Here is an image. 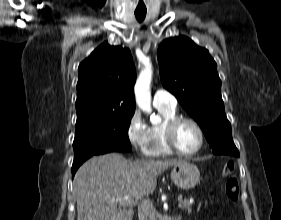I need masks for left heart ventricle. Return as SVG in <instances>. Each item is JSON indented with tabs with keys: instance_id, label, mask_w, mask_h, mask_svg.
I'll return each mask as SVG.
<instances>
[{
	"instance_id": "1",
	"label": "left heart ventricle",
	"mask_w": 281,
	"mask_h": 220,
	"mask_svg": "<svg viewBox=\"0 0 281 220\" xmlns=\"http://www.w3.org/2000/svg\"><path fill=\"white\" fill-rule=\"evenodd\" d=\"M175 139L178 147L185 152H190L196 149L200 141L197 129L188 122H183L178 125Z\"/></svg>"
}]
</instances>
